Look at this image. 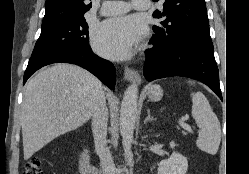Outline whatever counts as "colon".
I'll return each mask as SVG.
<instances>
[{"label": "colon", "instance_id": "colon-1", "mask_svg": "<svg viewBox=\"0 0 249 174\" xmlns=\"http://www.w3.org/2000/svg\"><path fill=\"white\" fill-rule=\"evenodd\" d=\"M22 174H43L41 169V160L38 157L30 158L23 170Z\"/></svg>", "mask_w": 249, "mask_h": 174}]
</instances>
